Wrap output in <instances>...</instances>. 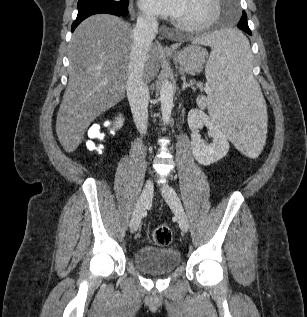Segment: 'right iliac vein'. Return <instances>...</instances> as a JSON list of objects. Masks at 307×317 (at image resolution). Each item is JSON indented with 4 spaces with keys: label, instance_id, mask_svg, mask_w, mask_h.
Wrapping results in <instances>:
<instances>
[{
    "label": "right iliac vein",
    "instance_id": "1",
    "mask_svg": "<svg viewBox=\"0 0 307 317\" xmlns=\"http://www.w3.org/2000/svg\"><path fill=\"white\" fill-rule=\"evenodd\" d=\"M152 197H153V184L150 180H148L144 185L142 193L137 201V204L131 216L130 230L132 232H136L138 230L141 223L142 216L145 210L150 205Z\"/></svg>",
    "mask_w": 307,
    "mask_h": 317
}]
</instances>
